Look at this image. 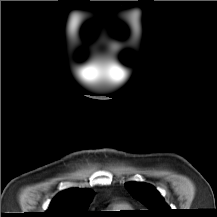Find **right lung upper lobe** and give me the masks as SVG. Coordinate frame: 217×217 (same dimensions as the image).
Returning a JSON list of instances; mask_svg holds the SVG:
<instances>
[{"label": "right lung upper lobe", "mask_w": 217, "mask_h": 217, "mask_svg": "<svg viewBox=\"0 0 217 217\" xmlns=\"http://www.w3.org/2000/svg\"><path fill=\"white\" fill-rule=\"evenodd\" d=\"M93 197V190L70 188L57 194L43 217H91L87 207Z\"/></svg>", "instance_id": "cb5924a9"}]
</instances>
